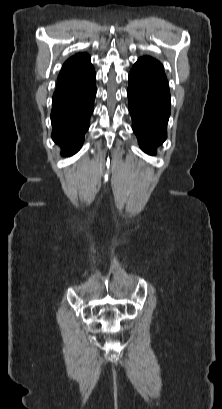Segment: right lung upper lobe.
<instances>
[{
  "label": "right lung upper lobe",
  "mask_w": 222,
  "mask_h": 409,
  "mask_svg": "<svg viewBox=\"0 0 222 409\" xmlns=\"http://www.w3.org/2000/svg\"><path fill=\"white\" fill-rule=\"evenodd\" d=\"M93 68L90 57L86 53H78L70 57L63 65L58 76L57 88L55 93L65 92L76 88V85L71 82L60 80V76L70 73H86Z\"/></svg>",
  "instance_id": "cb5924a9"
}]
</instances>
